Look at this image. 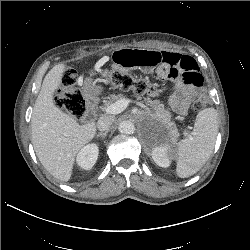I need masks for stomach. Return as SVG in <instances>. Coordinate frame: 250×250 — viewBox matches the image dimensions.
I'll use <instances>...</instances> for the list:
<instances>
[{
	"mask_svg": "<svg viewBox=\"0 0 250 250\" xmlns=\"http://www.w3.org/2000/svg\"><path fill=\"white\" fill-rule=\"evenodd\" d=\"M102 92L101 86H96L92 84L91 82H88L83 87V96L87 100H91L95 98L97 95H99Z\"/></svg>",
	"mask_w": 250,
	"mask_h": 250,
	"instance_id": "0dacf381",
	"label": "stomach"
}]
</instances>
